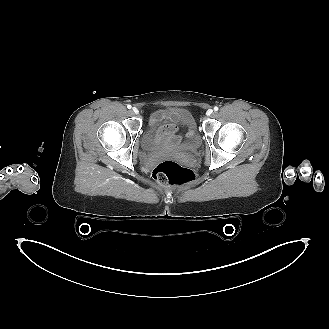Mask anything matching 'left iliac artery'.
<instances>
[{
    "mask_svg": "<svg viewBox=\"0 0 329 329\" xmlns=\"http://www.w3.org/2000/svg\"><path fill=\"white\" fill-rule=\"evenodd\" d=\"M218 109H219V108H218L217 106L214 107V111H218Z\"/></svg>",
    "mask_w": 329,
    "mask_h": 329,
    "instance_id": "left-iliac-artery-1",
    "label": "left iliac artery"
}]
</instances>
